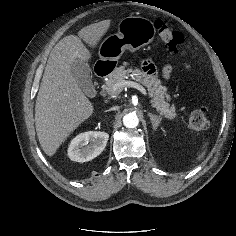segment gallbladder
<instances>
[{
	"instance_id": "obj_1",
	"label": "gallbladder",
	"mask_w": 236,
	"mask_h": 236,
	"mask_svg": "<svg viewBox=\"0 0 236 236\" xmlns=\"http://www.w3.org/2000/svg\"><path fill=\"white\" fill-rule=\"evenodd\" d=\"M72 75L86 95L90 97L94 96L95 89L92 82L91 69L88 63L77 59L72 67Z\"/></svg>"
}]
</instances>
